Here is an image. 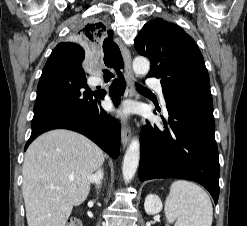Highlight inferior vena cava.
<instances>
[{"label": "inferior vena cava", "instance_id": "602c4592", "mask_svg": "<svg viewBox=\"0 0 247 226\" xmlns=\"http://www.w3.org/2000/svg\"><path fill=\"white\" fill-rule=\"evenodd\" d=\"M102 177H103L102 171L98 170L94 175H92L91 181L95 183L97 187H99V185L101 184Z\"/></svg>", "mask_w": 247, "mask_h": 226}]
</instances>
